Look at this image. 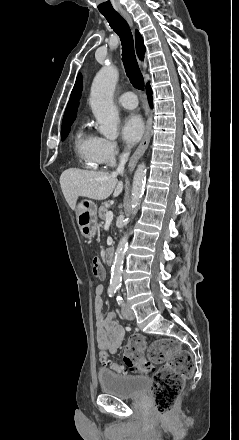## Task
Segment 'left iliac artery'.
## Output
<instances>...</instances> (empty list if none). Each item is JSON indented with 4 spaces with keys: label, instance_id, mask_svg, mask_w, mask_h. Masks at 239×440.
Masks as SVG:
<instances>
[{
    "label": "left iliac artery",
    "instance_id": "44dca946",
    "mask_svg": "<svg viewBox=\"0 0 239 440\" xmlns=\"http://www.w3.org/2000/svg\"><path fill=\"white\" fill-rule=\"evenodd\" d=\"M117 302H118L119 304L122 303V298H121L120 296L117 297Z\"/></svg>",
    "mask_w": 239,
    "mask_h": 440
}]
</instances>
